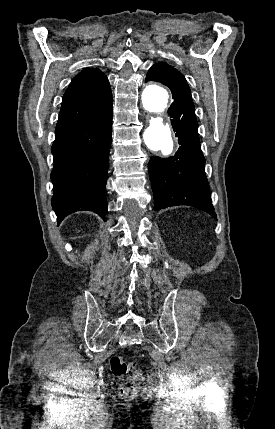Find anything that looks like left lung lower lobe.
I'll use <instances>...</instances> for the list:
<instances>
[{
	"label": "left lung lower lobe",
	"instance_id": "0a47b994",
	"mask_svg": "<svg viewBox=\"0 0 275 429\" xmlns=\"http://www.w3.org/2000/svg\"><path fill=\"white\" fill-rule=\"evenodd\" d=\"M149 80L166 85L172 92L173 103L168 114L172 117L171 124L180 144L174 156H153L150 159L154 210L188 205L216 218L204 172L205 158L200 147L198 122L186 79L179 72L150 68L145 81Z\"/></svg>",
	"mask_w": 275,
	"mask_h": 429
}]
</instances>
